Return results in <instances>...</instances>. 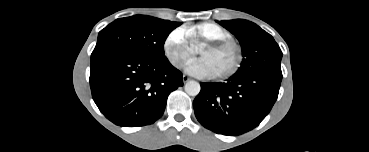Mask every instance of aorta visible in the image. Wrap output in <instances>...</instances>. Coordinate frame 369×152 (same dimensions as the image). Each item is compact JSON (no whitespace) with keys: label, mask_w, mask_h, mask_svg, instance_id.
Returning <instances> with one entry per match:
<instances>
[{"label":"aorta","mask_w":369,"mask_h":152,"mask_svg":"<svg viewBox=\"0 0 369 152\" xmlns=\"http://www.w3.org/2000/svg\"><path fill=\"white\" fill-rule=\"evenodd\" d=\"M185 92L190 96H197L200 92V84L196 81H188L184 86Z\"/></svg>","instance_id":"aorta-1"}]
</instances>
